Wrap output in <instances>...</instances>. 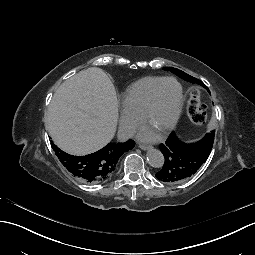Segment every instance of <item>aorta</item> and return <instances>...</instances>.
<instances>
[{"mask_svg":"<svg viewBox=\"0 0 255 255\" xmlns=\"http://www.w3.org/2000/svg\"><path fill=\"white\" fill-rule=\"evenodd\" d=\"M148 163L155 168H161L164 164V156L158 149H150L147 152Z\"/></svg>","mask_w":255,"mask_h":255,"instance_id":"obj_1","label":"aorta"}]
</instances>
